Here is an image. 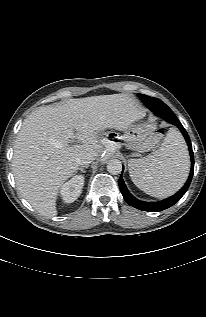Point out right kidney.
Instances as JSON below:
<instances>
[{
	"label": "right kidney",
	"mask_w": 206,
	"mask_h": 317,
	"mask_svg": "<svg viewBox=\"0 0 206 317\" xmlns=\"http://www.w3.org/2000/svg\"><path fill=\"white\" fill-rule=\"evenodd\" d=\"M84 186V177L76 175L61 187L60 194L65 203L74 202L81 194Z\"/></svg>",
	"instance_id": "right-kidney-1"
}]
</instances>
